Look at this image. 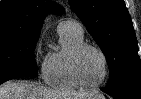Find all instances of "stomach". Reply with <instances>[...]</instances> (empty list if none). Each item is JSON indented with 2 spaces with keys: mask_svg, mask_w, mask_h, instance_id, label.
Returning <instances> with one entry per match:
<instances>
[{
  "mask_svg": "<svg viewBox=\"0 0 141 99\" xmlns=\"http://www.w3.org/2000/svg\"><path fill=\"white\" fill-rule=\"evenodd\" d=\"M89 99H97V98H95V97H92V98H89Z\"/></svg>",
  "mask_w": 141,
  "mask_h": 99,
  "instance_id": "0dacf381",
  "label": "stomach"
}]
</instances>
